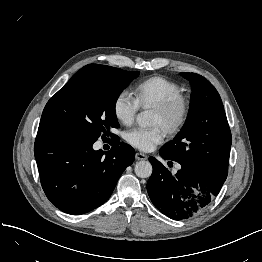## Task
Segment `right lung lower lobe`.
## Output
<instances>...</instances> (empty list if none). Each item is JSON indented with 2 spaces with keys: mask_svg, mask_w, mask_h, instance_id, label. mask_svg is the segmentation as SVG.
<instances>
[{
  "mask_svg": "<svg viewBox=\"0 0 262 262\" xmlns=\"http://www.w3.org/2000/svg\"><path fill=\"white\" fill-rule=\"evenodd\" d=\"M95 141L64 129H38L34 153L41 185L48 199L65 213L83 214L106 202L134 161L130 145L113 142L111 150L103 152L93 149Z\"/></svg>",
  "mask_w": 262,
  "mask_h": 262,
  "instance_id": "98d812e1",
  "label": "right lung lower lobe"
}]
</instances>
